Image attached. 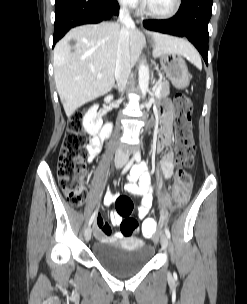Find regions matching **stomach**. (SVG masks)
Returning a JSON list of instances; mask_svg holds the SVG:
<instances>
[{
  "mask_svg": "<svg viewBox=\"0 0 247 304\" xmlns=\"http://www.w3.org/2000/svg\"><path fill=\"white\" fill-rule=\"evenodd\" d=\"M160 62L166 76L176 88L183 89L189 85L190 74L181 55L167 53L161 56Z\"/></svg>",
  "mask_w": 247,
  "mask_h": 304,
  "instance_id": "1",
  "label": "stomach"
}]
</instances>
